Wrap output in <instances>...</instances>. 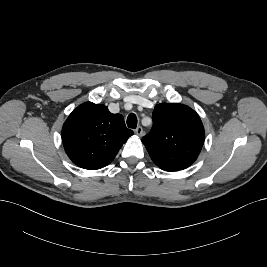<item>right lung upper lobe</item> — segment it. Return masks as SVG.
<instances>
[{
	"label": "right lung upper lobe",
	"mask_w": 267,
	"mask_h": 267,
	"mask_svg": "<svg viewBox=\"0 0 267 267\" xmlns=\"http://www.w3.org/2000/svg\"><path fill=\"white\" fill-rule=\"evenodd\" d=\"M133 135L121 114L105 105L86 102L69 115L62 128V141L77 166L95 170L110 164L121 146Z\"/></svg>",
	"instance_id": "cb5924a9"
}]
</instances>
